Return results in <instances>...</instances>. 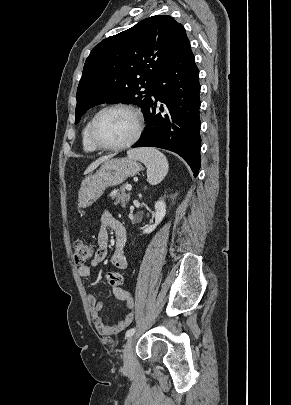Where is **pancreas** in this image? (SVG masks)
<instances>
[{
    "mask_svg": "<svg viewBox=\"0 0 291 405\" xmlns=\"http://www.w3.org/2000/svg\"><path fill=\"white\" fill-rule=\"evenodd\" d=\"M112 199H116L115 204H121L123 208L126 207L129 199H130V193L126 194L125 193V187L120 188V192H116L112 194Z\"/></svg>",
    "mask_w": 291,
    "mask_h": 405,
    "instance_id": "1",
    "label": "pancreas"
}]
</instances>
